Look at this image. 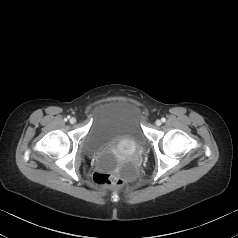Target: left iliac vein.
<instances>
[{
    "instance_id": "obj_1",
    "label": "left iliac vein",
    "mask_w": 238,
    "mask_h": 238,
    "mask_svg": "<svg viewBox=\"0 0 238 238\" xmlns=\"http://www.w3.org/2000/svg\"><path fill=\"white\" fill-rule=\"evenodd\" d=\"M155 124H156L157 126H160V125H161V121H160V120H156Z\"/></svg>"
}]
</instances>
